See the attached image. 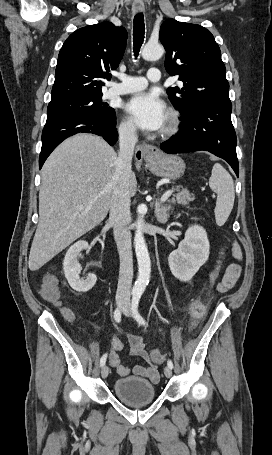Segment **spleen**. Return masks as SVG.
Wrapping results in <instances>:
<instances>
[{"instance_id":"1","label":"spleen","mask_w":272,"mask_h":455,"mask_svg":"<svg viewBox=\"0 0 272 455\" xmlns=\"http://www.w3.org/2000/svg\"><path fill=\"white\" fill-rule=\"evenodd\" d=\"M209 186L217 194L214 213L217 225L222 226L233 209L235 190L232 177L219 163L212 168Z\"/></svg>"}]
</instances>
